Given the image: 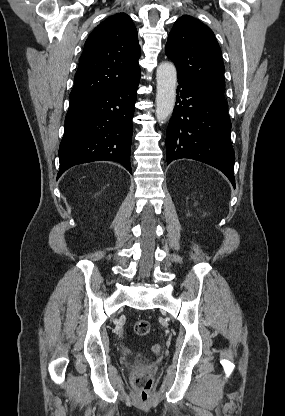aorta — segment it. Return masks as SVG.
<instances>
[{"label": "aorta", "instance_id": "obj_1", "mask_svg": "<svg viewBox=\"0 0 285 416\" xmlns=\"http://www.w3.org/2000/svg\"><path fill=\"white\" fill-rule=\"evenodd\" d=\"M156 117L163 123L173 112L176 99L177 71L172 63H161L156 70Z\"/></svg>", "mask_w": 285, "mask_h": 416}]
</instances>
